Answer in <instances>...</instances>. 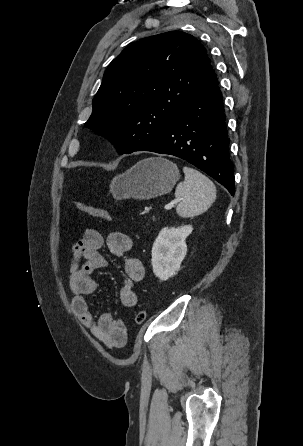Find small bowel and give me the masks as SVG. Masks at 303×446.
I'll list each match as a JSON object with an SVG mask.
<instances>
[{
  "mask_svg": "<svg viewBox=\"0 0 303 446\" xmlns=\"http://www.w3.org/2000/svg\"><path fill=\"white\" fill-rule=\"evenodd\" d=\"M104 244L107 245L111 254L125 257L132 247V240L127 234L120 231L110 233L104 240L98 230L87 228L72 247L68 284L73 294L72 309L82 324L108 348L119 349L127 343L125 324L111 313L95 316L90 310L87 299L98 288V282L93 273L108 265V260L100 251ZM125 274L119 293L120 301L124 307L132 308L137 303L134 286L145 276L143 261L136 257H127L125 259Z\"/></svg>",
  "mask_w": 303,
  "mask_h": 446,
  "instance_id": "obj_1",
  "label": "small bowel"
}]
</instances>
